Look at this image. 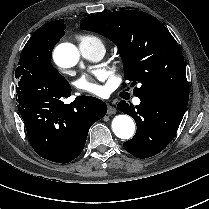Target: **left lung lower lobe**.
<instances>
[{
    "label": "left lung lower lobe",
    "mask_w": 209,
    "mask_h": 209,
    "mask_svg": "<svg viewBox=\"0 0 209 209\" xmlns=\"http://www.w3.org/2000/svg\"><path fill=\"white\" fill-rule=\"evenodd\" d=\"M141 103L134 107L122 100L119 111L131 116L136 134L123 143L127 152L137 158H148L161 152L174 138L187 108V99H175L159 93L137 96Z\"/></svg>",
    "instance_id": "0a47b994"
}]
</instances>
